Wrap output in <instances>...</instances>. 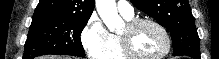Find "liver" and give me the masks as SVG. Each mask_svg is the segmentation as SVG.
Listing matches in <instances>:
<instances>
[{
    "instance_id": "6515ba94",
    "label": "liver",
    "mask_w": 219,
    "mask_h": 59,
    "mask_svg": "<svg viewBox=\"0 0 219 59\" xmlns=\"http://www.w3.org/2000/svg\"><path fill=\"white\" fill-rule=\"evenodd\" d=\"M39 59H72L71 57L67 56H53V55H48V56H42Z\"/></svg>"
}]
</instances>
